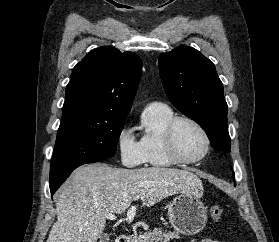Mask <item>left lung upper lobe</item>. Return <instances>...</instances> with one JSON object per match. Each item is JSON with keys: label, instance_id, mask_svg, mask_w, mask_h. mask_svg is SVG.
<instances>
[{"label": "left lung upper lobe", "instance_id": "obj_1", "mask_svg": "<svg viewBox=\"0 0 279 242\" xmlns=\"http://www.w3.org/2000/svg\"><path fill=\"white\" fill-rule=\"evenodd\" d=\"M159 72L171 103L205 130L214 149L230 152L228 107L212 61L194 48L179 47L160 55Z\"/></svg>", "mask_w": 279, "mask_h": 242}]
</instances>
